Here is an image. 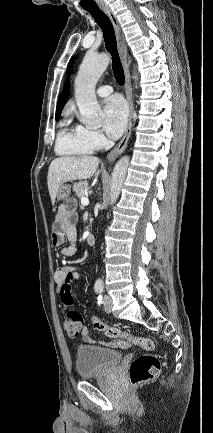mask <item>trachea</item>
<instances>
[{
    "label": "trachea",
    "mask_w": 213,
    "mask_h": 433,
    "mask_svg": "<svg viewBox=\"0 0 213 433\" xmlns=\"http://www.w3.org/2000/svg\"><path fill=\"white\" fill-rule=\"evenodd\" d=\"M84 9L92 15L95 22L102 29L105 47L112 56V68L115 79L119 85H123L125 81L124 70L117 50L114 28L109 17L98 6Z\"/></svg>",
    "instance_id": "1"
}]
</instances>
